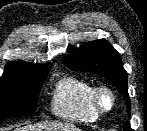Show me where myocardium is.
Instances as JSON below:
<instances>
[{"label":"myocardium","instance_id":"myocardium-1","mask_svg":"<svg viewBox=\"0 0 147 131\" xmlns=\"http://www.w3.org/2000/svg\"><path fill=\"white\" fill-rule=\"evenodd\" d=\"M104 95H108L110 98V104L108 106L102 103V97ZM92 104L99 115L109 113L116 105V94L113 89L107 85L96 86L92 92Z\"/></svg>","mask_w":147,"mask_h":131}]
</instances>
